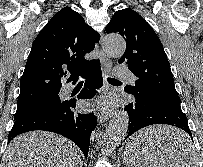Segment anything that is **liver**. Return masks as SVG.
Here are the masks:
<instances>
[{"label":"liver","instance_id":"obj_1","mask_svg":"<svg viewBox=\"0 0 203 167\" xmlns=\"http://www.w3.org/2000/svg\"><path fill=\"white\" fill-rule=\"evenodd\" d=\"M187 137L173 127L153 126L131 137L128 146L155 141V147L162 159L171 163L184 160L187 148L182 149L180 144L188 141ZM188 149H191L190 146ZM80 163L76 145L64 137L44 131L17 136L10 142L4 154V167H79Z\"/></svg>","mask_w":203,"mask_h":167}]
</instances>
